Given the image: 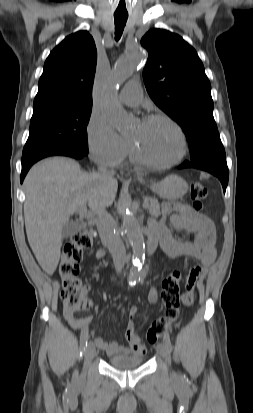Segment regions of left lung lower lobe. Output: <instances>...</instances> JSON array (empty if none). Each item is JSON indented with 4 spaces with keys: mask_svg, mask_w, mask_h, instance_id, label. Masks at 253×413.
Listing matches in <instances>:
<instances>
[{
    "mask_svg": "<svg viewBox=\"0 0 253 413\" xmlns=\"http://www.w3.org/2000/svg\"><path fill=\"white\" fill-rule=\"evenodd\" d=\"M178 168H197L207 171L218 177L222 183L224 192L226 190L229 174L226 159L212 160L202 164H194L192 162L185 161Z\"/></svg>",
    "mask_w": 253,
    "mask_h": 413,
    "instance_id": "1",
    "label": "left lung lower lobe"
}]
</instances>
